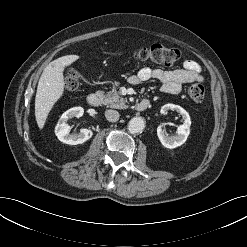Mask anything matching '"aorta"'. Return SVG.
<instances>
[{
	"mask_svg": "<svg viewBox=\"0 0 247 247\" xmlns=\"http://www.w3.org/2000/svg\"><path fill=\"white\" fill-rule=\"evenodd\" d=\"M145 119L142 117H133L128 123V130L130 133H141L145 128Z\"/></svg>",
	"mask_w": 247,
	"mask_h": 247,
	"instance_id": "aorta-1",
	"label": "aorta"
}]
</instances>
